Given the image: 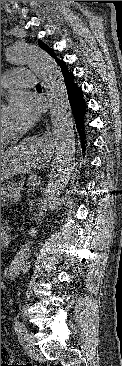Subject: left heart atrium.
Here are the masks:
<instances>
[{"label":"left heart atrium","instance_id":"left-heart-atrium-1","mask_svg":"<svg viewBox=\"0 0 122 366\" xmlns=\"http://www.w3.org/2000/svg\"><path fill=\"white\" fill-rule=\"evenodd\" d=\"M38 106L35 99L26 92H14L6 107L7 117L17 131L28 130L38 117Z\"/></svg>","mask_w":122,"mask_h":366}]
</instances>
